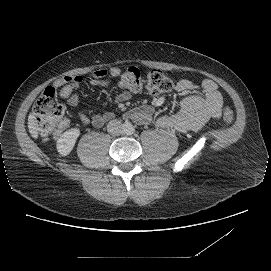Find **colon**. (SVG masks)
<instances>
[{
	"label": "colon",
	"mask_w": 271,
	"mask_h": 271,
	"mask_svg": "<svg viewBox=\"0 0 271 271\" xmlns=\"http://www.w3.org/2000/svg\"><path fill=\"white\" fill-rule=\"evenodd\" d=\"M119 84L124 90L135 93L144 89L150 95L168 92L173 88L172 80L163 72L152 70L143 81L141 72L136 67L128 68L122 74ZM222 115L227 124L233 122L234 115L228 107L223 108ZM32 123L43 136L53 132H61L65 128L67 124L65 108L57 101L56 90L53 86L45 88L36 100L33 107Z\"/></svg>",
	"instance_id": "colon-1"
}]
</instances>
